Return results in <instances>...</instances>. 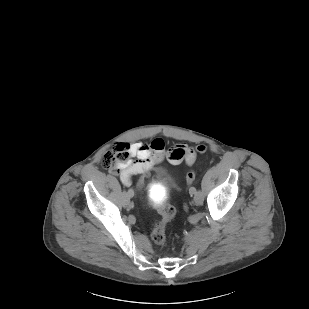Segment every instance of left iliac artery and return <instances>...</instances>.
I'll return each instance as SVG.
<instances>
[{
    "instance_id": "1",
    "label": "left iliac artery",
    "mask_w": 309,
    "mask_h": 309,
    "mask_svg": "<svg viewBox=\"0 0 309 309\" xmlns=\"http://www.w3.org/2000/svg\"><path fill=\"white\" fill-rule=\"evenodd\" d=\"M189 193H190L191 195H194V194L196 193V189H195L194 187H191V188L189 189Z\"/></svg>"
}]
</instances>
